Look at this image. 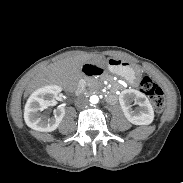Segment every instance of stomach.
<instances>
[{
	"instance_id": "1",
	"label": "stomach",
	"mask_w": 183,
	"mask_h": 183,
	"mask_svg": "<svg viewBox=\"0 0 183 183\" xmlns=\"http://www.w3.org/2000/svg\"><path fill=\"white\" fill-rule=\"evenodd\" d=\"M108 70L123 77L130 84H138L141 80L142 70L140 67L132 65L122 59L109 58L106 61Z\"/></svg>"
}]
</instances>
